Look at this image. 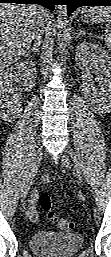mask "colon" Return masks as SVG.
Returning <instances> with one entry per match:
<instances>
[{
	"label": "colon",
	"mask_w": 111,
	"mask_h": 257,
	"mask_svg": "<svg viewBox=\"0 0 111 257\" xmlns=\"http://www.w3.org/2000/svg\"><path fill=\"white\" fill-rule=\"evenodd\" d=\"M38 203L40 208L47 213V216L52 220L59 229L63 231H72L74 223L72 221L59 218L51 207V197L48 193L42 192L38 196Z\"/></svg>",
	"instance_id": "1"
}]
</instances>
